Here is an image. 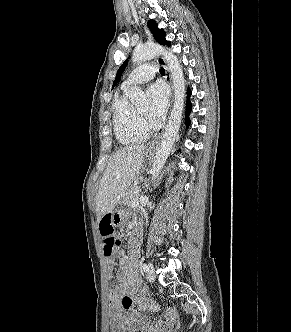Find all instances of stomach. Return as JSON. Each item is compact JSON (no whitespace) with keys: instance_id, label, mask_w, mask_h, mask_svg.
<instances>
[{"instance_id":"obj_1","label":"stomach","mask_w":291,"mask_h":332,"mask_svg":"<svg viewBox=\"0 0 291 332\" xmlns=\"http://www.w3.org/2000/svg\"><path fill=\"white\" fill-rule=\"evenodd\" d=\"M151 150H147V153H150ZM124 218V212L120 208H117L112 216L113 224L114 225H120Z\"/></svg>"}]
</instances>
